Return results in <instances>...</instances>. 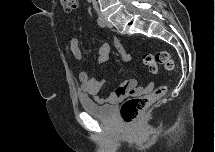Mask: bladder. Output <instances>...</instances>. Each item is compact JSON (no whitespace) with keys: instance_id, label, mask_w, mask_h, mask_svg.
Masks as SVG:
<instances>
[{"instance_id":"1","label":"bladder","mask_w":215,"mask_h":152,"mask_svg":"<svg viewBox=\"0 0 215 152\" xmlns=\"http://www.w3.org/2000/svg\"><path fill=\"white\" fill-rule=\"evenodd\" d=\"M82 109L103 120H111L114 116V107L112 105H101L90 97L82 96L79 99Z\"/></svg>"}]
</instances>
